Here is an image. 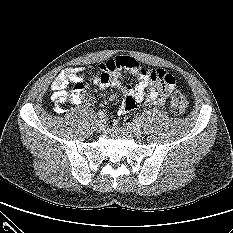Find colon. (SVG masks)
Segmentation results:
<instances>
[{
	"mask_svg": "<svg viewBox=\"0 0 233 233\" xmlns=\"http://www.w3.org/2000/svg\"><path fill=\"white\" fill-rule=\"evenodd\" d=\"M143 74H147L145 69L141 70ZM84 94V87L81 85H75L74 90L71 94V98H81ZM188 102L186 97L181 92L173 93L170 100V108L176 115H181L185 112Z\"/></svg>",
	"mask_w": 233,
	"mask_h": 233,
	"instance_id": "5ec220e1",
	"label": "colon"
}]
</instances>
